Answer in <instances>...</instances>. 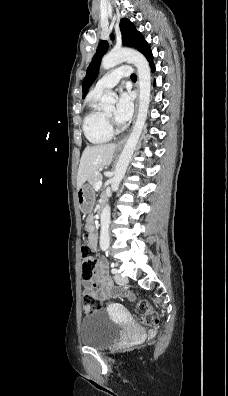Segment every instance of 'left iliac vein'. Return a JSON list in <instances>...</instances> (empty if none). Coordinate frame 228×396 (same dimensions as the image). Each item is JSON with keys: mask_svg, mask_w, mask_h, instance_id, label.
<instances>
[{"mask_svg": "<svg viewBox=\"0 0 228 396\" xmlns=\"http://www.w3.org/2000/svg\"><path fill=\"white\" fill-rule=\"evenodd\" d=\"M115 280H116V282L119 283V284H125V283L128 282V279L125 278V277H122L120 274H116V275H115Z\"/></svg>", "mask_w": 228, "mask_h": 396, "instance_id": "obj_1", "label": "left iliac vein"}]
</instances>
